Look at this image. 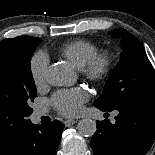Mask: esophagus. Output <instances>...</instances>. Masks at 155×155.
<instances>
[{
	"mask_svg": "<svg viewBox=\"0 0 155 155\" xmlns=\"http://www.w3.org/2000/svg\"><path fill=\"white\" fill-rule=\"evenodd\" d=\"M77 121L75 119H67L64 121V124L66 127L72 126L76 123Z\"/></svg>",
	"mask_w": 155,
	"mask_h": 155,
	"instance_id": "1",
	"label": "esophagus"
}]
</instances>
